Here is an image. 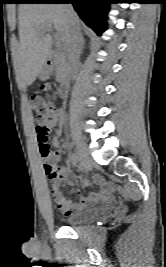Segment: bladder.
I'll use <instances>...</instances> for the list:
<instances>
[{
  "instance_id": "1",
  "label": "bladder",
  "mask_w": 166,
  "mask_h": 267,
  "mask_svg": "<svg viewBox=\"0 0 166 267\" xmlns=\"http://www.w3.org/2000/svg\"><path fill=\"white\" fill-rule=\"evenodd\" d=\"M96 213L97 211L95 209H89L67 215L64 218V224L70 227L77 226L91 220L96 215Z\"/></svg>"
}]
</instances>
